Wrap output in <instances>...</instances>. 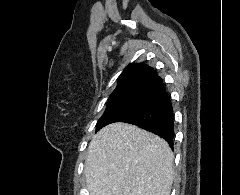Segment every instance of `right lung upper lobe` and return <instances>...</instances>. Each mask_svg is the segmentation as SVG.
Here are the masks:
<instances>
[{
	"mask_svg": "<svg viewBox=\"0 0 240 195\" xmlns=\"http://www.w3.org/2000/svg\"><path fill=\"white\" fill-rule=\"evenodd\" d=\"M162 83L154 69L144 63H136L126 68L118 79V84L111 95L148 94Z\"/></svg>",
	"mask_w": 240,
	"mask_h": 195,
	"instance_id": "cb5924a9",
	"label": "right lung upper lobe"
}]
</instances>
